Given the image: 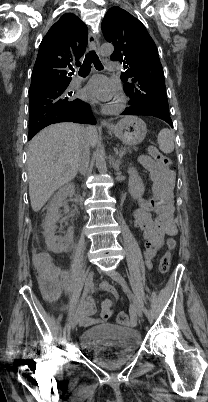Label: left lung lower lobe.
Here are the masks:
<instances>
[{
    "instance_id": "obj_1",
    "label": "left lung lower lobe",
    "mask_w": 208,
    "mask_h": 402,
    "mask_svg": "<svg viewBox=\"0 0 208 402\" xmlns=\"http://www.w3.org/2000/svg\"><path fill=\"white\" fill-rule=\"evenodd\" d=\"M122 115H148V116H154L159 119L164 120L167 122L171 127H173L172 120L169 116L168 113L155 109V108H148V107H141V106H133L130 105L125 109V111L122 113Z\"/></svg>"
}]
</instances>
